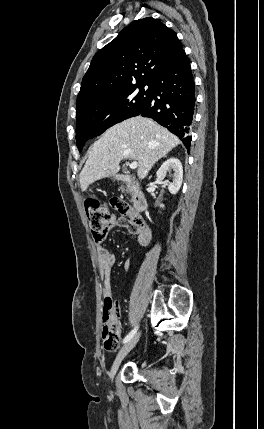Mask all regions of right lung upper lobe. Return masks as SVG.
I'll return each instance as SVG.
<instances>
[{
	"mask_svg": "<svg viewBox=\"0 0 264 429\" xmlns=\"http://www.w3.org/2000/svg\"><path fill=\"white\" fill-rule=\"evenodd\" d=\"M184 50L160 20L139 19L99 50L83 77L77 107L137 84H151Z\"/></svg>",
	"mask_w": 264,
	"mask_h": 429,
	"instance_id": "obj_1",
	"label": "right lung upper lobe"
}]
</instances>
